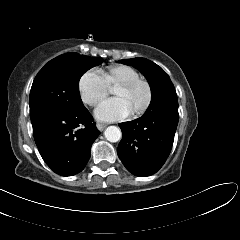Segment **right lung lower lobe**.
<instances>
[{
  "label": "right lung lower lobe",
  "instance_id": "1",
  "mask_svg": "<svg viewBox=\"0 0 240 240\" xmlns=\"http://www.w3.org/2000/svg\"><path fill=\"white\" fill-rule=\"evenodd\" d=\"M31 122L38 150L52 171L73 176L85 168L91 145L100 132L84 106L50 113Z\"/></svg>",
  "mask_w": 240,
  "mask_h": 240
}]
</instances>
